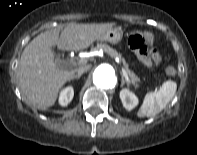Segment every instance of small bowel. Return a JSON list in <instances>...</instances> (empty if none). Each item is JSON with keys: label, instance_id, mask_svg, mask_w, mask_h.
Returning <instances> with one entry per match:
<instances>
[{"label": "small bowel", "instance_id": "c3829d8e", "mask_svg": "<svg viewBox=\"0 0 197 155\" xmlns=\"http://www.w3.org/2000/svg\"><path fill=\"white\" fill-rule=\"evenodd\" d=\"M155 52H156L157 60H155L154 55L152 53L147 52L145 54H140L139 61L145 66H151L154 62H158L160 59L159 53L156 50Z\"/></svg>", "mask_w": 197, "mask_h": 155}]
</instances>
